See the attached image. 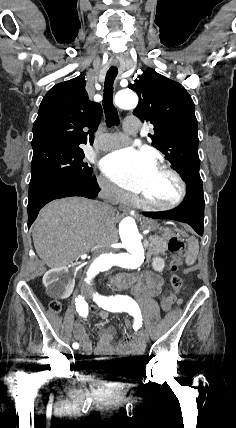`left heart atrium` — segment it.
Returning a JSON list of instances; mask_svg holds the SVG:
<instances>
[{"mask_svg": "<svg viewBox=\"0 0 236 428\" xmlns=\"http://www.w3.org/2000/svg\"><path fill=\"white\" fill-rule=\"evenodd\" d=\"M155 167L156 162L152 157L131 148L112 153L102 163L106 177L134 193H141L147 177Z\"/></svg>", "mask_w": 236, "mask_h": 428, "instance_id": "obj_1", "label": "left heart atrium"}]
</instances>
